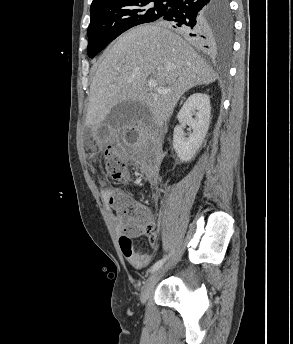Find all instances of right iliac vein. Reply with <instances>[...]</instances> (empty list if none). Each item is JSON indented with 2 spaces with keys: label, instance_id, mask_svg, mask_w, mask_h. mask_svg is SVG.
I'll return each instance as SVG.
<instances>
[{
  "label": "right iliac vein",
  "instance_id": "63e3f726",
  "mask_svg": "<svg viewBox=\"0 0 293 344\" xmlns=\"http://www.w3.org/2000/svg\"><path fill=\"white\" fill-rule=\"evenodd\" d=\"M162 272H163V270L156 271L146 281V283L143 287V290L141 292V296H140V300L143 304L147 301L148 297L152 293V291H153V289H154V287H155V285H156Z\"/></svg>",
  "mask_w": 293,
  "mask_h": 344
}]
</instances>
